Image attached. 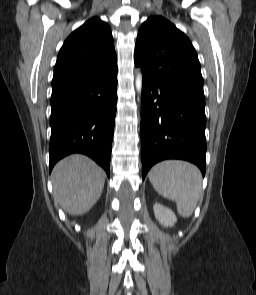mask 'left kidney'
Masks as SVG:
<instances>
[{"mask_svg":"<svg viewBox=\"0 0 256 295\" xmlns=\"http://www.w3.org/2000/svg\"><path fill=\"white\" fill-rule=\"evenodd\" d=\"M153 210H154L156 219L164 227H171L176 223L177 221L176 215L171 209L156 203L153 206Z\"/></svg>","mask_w":256,"mask_h":295,"instance_id":"obj_1","label":"left kidney"}]
</instances>
